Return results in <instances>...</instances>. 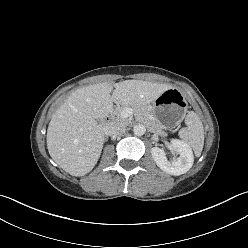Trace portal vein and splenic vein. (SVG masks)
I'll list each match as a JSON object with an SVG mask.
<instances>
[{
    "mask_svg": "<svg viewBox=\"0 0 248 248\" xmlns=\"http://www.w3.org/2000/svg\"><path fill=\"white\" fill-rule=\"evenodd\" d=\"M133 114V109L132 108H124L123 111L121 112L122 117L128 118Z\"/></svg>",
    "mask_w": 248,
    "mask_h": 248,
    "instance_id": "18ae733b",
    "label": "portal vein and splenic vein"
}]
</instances>
